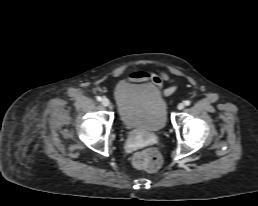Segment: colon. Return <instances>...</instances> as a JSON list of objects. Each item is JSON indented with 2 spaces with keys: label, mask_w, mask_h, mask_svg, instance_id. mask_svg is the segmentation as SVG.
Returning a JSON list of instances; mask_svg holds the SVG:
<instances>
[{
  "label": "colon",
  "mask_w": 258,
  "mask_h": 206,
  "mask_svg": "<svg viewBox=\"0 0 258 206\" xmlns=\"http://www.w3.org/2000/svg\"><path fill=\"white\" fill-rule=\"evenodd\" d=\"M133 164L137 168L156 170L161 164L159 152L154 148H146L133 155Z\"/></svg>",
  "instance_id": "colon-1"
}]
</instances>
